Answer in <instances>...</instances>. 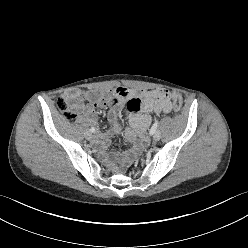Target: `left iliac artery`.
<instances>
[{
  "label": "left iliac artery",
  "instance_id": "44dca946",
  "mask_svg": "<svg viewBox=\"0 0 248 248\" xmlns=\"http://www.w3.org/2000/svg\"><path fill=\"white\" fill-rule=\"evenodd\" d=\"M158 124H159V121L156 120V121L154 122V124L152 125V127H151V129H150V134H151V135H153V134L156 132L157 127H158Z\"/></svg>",
  "mask_w": 248,
  "mask_h": 248
}]
</instances>
